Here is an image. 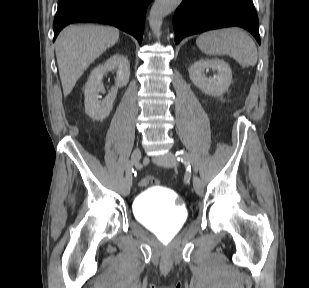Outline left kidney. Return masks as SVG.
Instances as JSON below:
<instances>
[{"mask_svg":"<svg viewBox=\"0 0 309 288\" xmlns=\"http://www.w3.org/2000/svg\"><path fill=\"white\" fill-rule=\"evenodd\" d=\"M217 71L213 77H207L205 70ZM189 77L193 84L203 93L211 96H220L228 90L232 82V70L222 59H200L194 62L189 69Z\"/></svg>","mask_w":309,"mask_h":288,"instance_id":"obj_1","label":"left kidney"}]
</instances>
